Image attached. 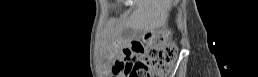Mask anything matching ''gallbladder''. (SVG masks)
<instances>
[{"label": "gallbladder", "mask_w": 258, "mask_h": 77, "mask_svg": "<svg viewBox=\"0 0 258 77\" xmlns=\"http://www.w3.org/2000/svg\"><path fill=\"white\" fill-rule=\"evenodd\" d=\"M131 35H132V30H131L130 28L125 29V30L123 31V36H124V37L128 38V37L131 36Z\"/></svg>", "instance_id": "1"}]
</instances>
